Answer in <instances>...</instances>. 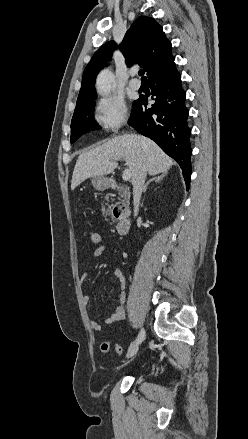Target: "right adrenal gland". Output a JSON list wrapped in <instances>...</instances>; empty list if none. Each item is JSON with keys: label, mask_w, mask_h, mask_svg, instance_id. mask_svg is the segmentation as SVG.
I'll list each match as a JSON object with an SVG mask.
<instances>
[{"label": "right adrenal gland", "mask_w": 248, "mask_h": 439, "mask_svg": "<svg viewBox=\"0 0 248 439\" xmlns=\"http://www.w3.org/2000/svg\"><path fill=\"white\" fill-rule=\"evenodd\" d=\"M167 173H161L160 175H158L157 177H154L152 179H150L143 187V191L146 192L148 185L150 184V182L155 181V182H160L166 175Z\"/></svg>", "instance_id": "1"}]
</instances>
